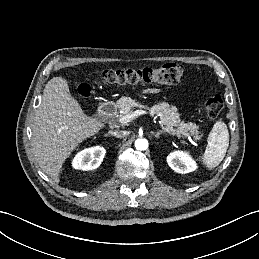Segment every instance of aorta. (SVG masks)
Masks as SVG:
<instances>
[{
    "label": "aorta",
    "instance_id": "obj_1",
    "mask_svg": "<svg viewBox=\"0 0 259 259\" xmlns=\"http://www.w3.org/2000/svg\"><path fill=\"white\" fill-rule=\"evenodd\" d=\"M135 148L137 150H146L148 148V140L144 138H138L135 141Z\"/></svg>",
    "mask_w": 259,
    "mask_h": 259
}]
</instances>
